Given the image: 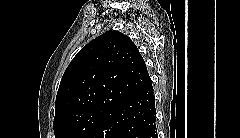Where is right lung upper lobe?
Segmentation results:
<instances>
[{
    "label": "right lung upper lobe",
    "mask_w": 240,
    "mask_h": 138,
    "mask_svg": "<svg viewBox=\"0 0 240 138\" xmlns=\"http://www.w3.org/2000/svg\"><path fill=\"white\" fill-rule=\"evenodd\" d=\"M151 84L132 40L107 31L89 42L65 70L56 96L55 119L85 110H109Z\"/></svg>",
    "instance_id": "1"
}]
</instances>
